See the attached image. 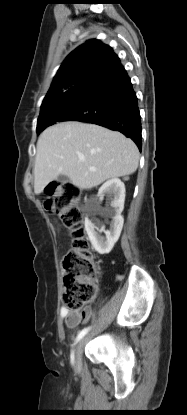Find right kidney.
Here are the masks:
<instances>
[{
    "instance_id": "obj_1",
    "label": "right kidney",
    "mask_w": 187,
    "mask_h": 415,
    "mask_svg": "<svg viewBox=\"0 0 187 415\" xmlns=\"http://www.w3.org/2000/svg\"><path fill=\"white\" fill-rule=\"evenodd\" d=\"M97 196L101 200L104 196H107L109 200H111L112 210H104L101 209L98 204L95 205L97 212H99L102 216L112 218L110 229L105 230L104 227H102L98 230L95 224L92 223L88 217H86L85 230L94 249L99 254H108L119 239L124 223L121 213L124 209L125 185L118 178L110 179L100 187ZM95 229H97V231ZM101 232L105 233V237L100 235Z\"/></svg>"
}]
</instances>
